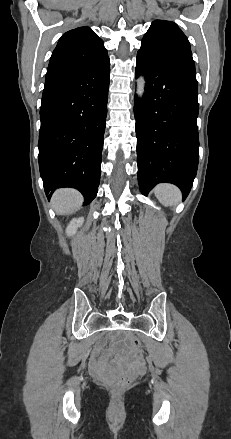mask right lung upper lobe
<instances>
[{
  "label": "right lung upper lobe",
  "instance_id": "right-lung-upper-lobe-1",
  "mask_svg": "<svg viewBox=\"0 0 231 439\" xmlns=\"http://www.w3.org/2000/svg\"><path fill=\"white\" fill-rule=\"evenodd\" d=\"M108 58L103 41L89 27L66 32L50 58L45 82L88 72Z\"/></svg>",
  "mask_w": 231,
  "mask_h": 439
}]
</instances>
